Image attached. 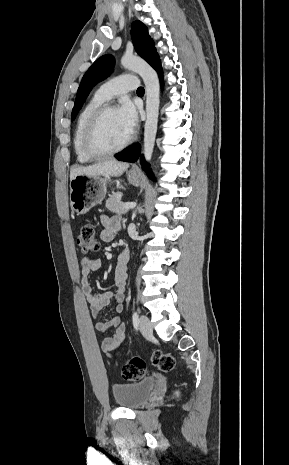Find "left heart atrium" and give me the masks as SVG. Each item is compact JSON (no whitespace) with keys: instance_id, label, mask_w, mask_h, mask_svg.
<instances>
[{"instance_id":"left-heart-atrium-1","label":"left heart atrium","mask_w":289,"mask_h":465,"mask_svg":"<svg viewBox=\"0 0 289 465\" xmlns=\"http://www.w3.org/2000/svg\"><path fill=\"white\" fill-rule=\"evenodd\" d=\"M121 125L128 136H131L137 127L138 111L136 106L128 99L123 100L116 109Z\"/></svg>"}]
</instances>
